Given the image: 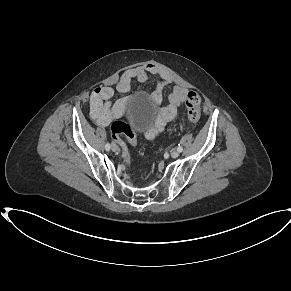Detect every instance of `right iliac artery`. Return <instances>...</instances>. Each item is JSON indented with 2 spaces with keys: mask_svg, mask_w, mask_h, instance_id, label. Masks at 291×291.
<instances>
[{
  "mask_svg": "<svg viewBox=\"0 0 291 291\" xmlns=\"http://www.w3.org/2000/svg\"><path fill=\"white\" fill-rule=\"evenodd\" d=\"M105 149H106V150H110V144H109V143H107V144L105 145Z\"/></svg>",
  "mask_w": 291,
  "mask_h": 291,
  "instance_id": "1",
  "label": "right iliac artery"
}]
</instances>
